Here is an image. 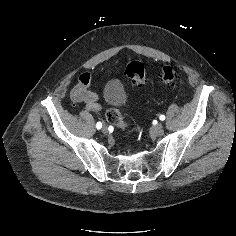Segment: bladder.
I'll return each instance as SVG.
<instances>
[{
    "label": "bladder",
    "instance_id": "obj_1",
    "mask_svg": "<svg viewBox=\"0 0 236 236\" xmlns=\"http://www.w3.org/2000/svg\"><path fill=\"white\" fill-rule=\"evenodd\" d=\"M103 98L108 106L120 108L126 101L123 86L117 80L108 81L103 88Z\"/></svg>",
    "mask_w": 236,
    "mask_h": 236
}]
</instances>
